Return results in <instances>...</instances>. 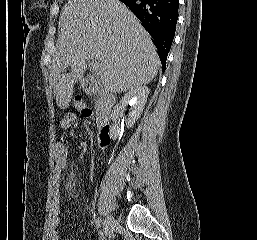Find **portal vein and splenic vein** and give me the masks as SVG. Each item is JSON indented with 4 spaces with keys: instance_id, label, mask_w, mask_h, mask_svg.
<instances>
[{
    "instance_id": "1",
    "label": "portal vein and splenic vein",
    "mask_w": 257,
    "mask_h": 240,
    "mask_svg": "<svg viewBox=\"0 0 257 240\" xmlns=\"http://www.w3.org/2000/svg\"><path fill=\"white\" fill-rule=\"evenodd\" d=\"M90 65H91L93 71L95 72V75L99 76V73H100V70H101V67H100L99 63L96 60L92 59Z\"/></svg>"
}]
</instances>
